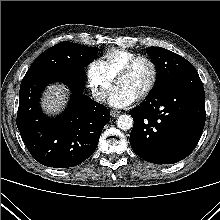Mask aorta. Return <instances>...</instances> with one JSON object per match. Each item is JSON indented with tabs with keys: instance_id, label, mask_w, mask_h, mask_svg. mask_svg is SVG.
<instances>
[{
	"instance_id": "aorta-1",
	"label": "aorta",
	"mask_w": 220,
	"mask_h": 220,
	"mask_svg": "<svg viewBox=\"0 0 220 220\" xmlns=\"http://www.w3.org/2000/svg\"><path fill=\"white\" fill-rule=\"evenodd\" d=\"M118 128L127 131L133 127V119L130 115L123 114L117 119Z\"/></svg>"
}]
</instances>
